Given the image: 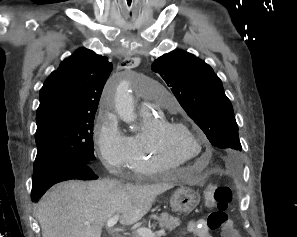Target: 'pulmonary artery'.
<instances>
[{
  "mask_svg": "<svg viewBox=\"0 0 297 237\" xmlns=\"http://www.w3.org/2000/svg\"><path fill=\"white\" fill-rule=\"evenodd\" d=\"M153 104L155 106L168 108L170 110H176L178 107L177 101L170 93H165L164 95L156 97ZM141 109L142 111H147L148 107L143 105Z\"/></svg>",
  "mask_w": 297,
  "mask_h": 237,
  "instance_id": "pulmonary-artery-1",
  "label": "pulmonary artery"
}]
</instances>
